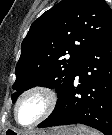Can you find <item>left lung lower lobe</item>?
<instances>
[{
  "instance_id": "0a47b994",
  "label": "left lung lower lobe",
  "mask_w": 112,
  "mask_h": 135,
  "mask_svg": "<svg viewBox=\"0 0 112 135\" xmlns=\"http://www.w3.org/2000/svg\"><path fill=\"white\" fill-rule=\"evenodd\" d=\"M78 123L112 135V24L84 55L54 111L38 127Z\"/></svg>"
}]
</instances>
